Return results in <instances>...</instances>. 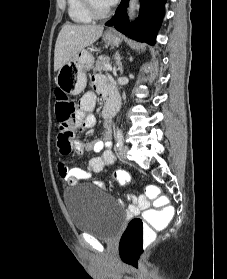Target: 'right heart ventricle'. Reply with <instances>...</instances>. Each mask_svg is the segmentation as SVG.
Returning <instances> with one entry per match:
<instances>
[{
	"mask_svg": "<svg viewBox=\"0 0 227 279\" xmlns=\"http://www.w3.org/2000/svg\"><path fill=\"white\" fill-rule=\"evenodd\" d=\"M70 19L79 24H88L93 18L85 10L81 0H67Z\"/></svg>",
	"mask_w": 227,
	"mask_h": 279,
	"instance_id": "right-heart-ventricle-1",
	"label": "right heart ventricle"
}]
</instances>
